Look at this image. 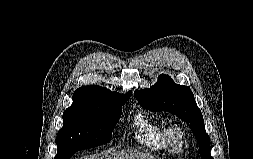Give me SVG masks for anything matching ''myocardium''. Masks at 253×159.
<instances>
[{
  "label": "myocardium",
  "instance_id": "f54148a6",
  "mask_svg": "<svg viewBox=\"0 0 253 159\" xmlns=\"http://www.w3.org/2000/svg\"><path fill=\"white\" fill-rule=\"evenodd\" d=\"M185 144L183 130L179 126H170L166 130V146L173 152L182 151Z\"/></svg>",
  "mask_w": 253,
  "mask_h": 159
}]
</instances>
